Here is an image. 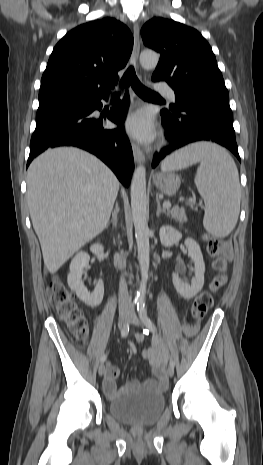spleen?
Returning a JSON list of instances; mask_svg holds the SVG:
<instances>
[{
  "instance_id": "3e777b00",
  "label": "spleen",
  "mask_w": 263,
  "mask_h": 465,
  "mask_svg": "<svg viewBox=\"0 0 263 465\" xmlns=\"http://www.w3.org/2000/svg\"><path fill=\"white\" fill-rule=\"evenodd\" d=\"M195 163H200L194 181L205 202L204 228L215 237H226L236 226L240 212L235 162L224 148L199 142L173 153L162 162L161 170H180Z\"/></svg>"
}]
</instances>
